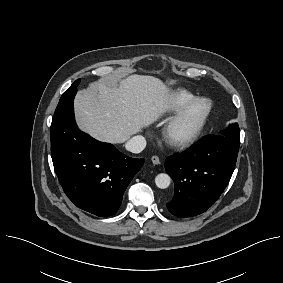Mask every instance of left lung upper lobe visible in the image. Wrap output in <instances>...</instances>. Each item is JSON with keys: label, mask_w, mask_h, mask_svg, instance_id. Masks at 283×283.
Segmentation results:
<instances>
[{"label": "left lung upper lobe", "mask_w": 283, "mask_h": 283, "mask_svg": "<svg viewBox=\"0 0 283 283\" xmlns=\"http://www.w3.org/2000/svg\"><path fill=\"white\" fill-rule=\"evenodd\" d=\"M221 135L234 141L240 142V130L238 124L229 125L226 130L221 132Z\"/></svg>", "instance_id": "obj_1"}]
</instances>
